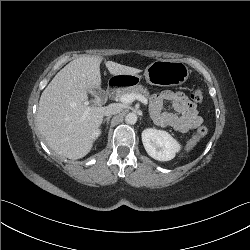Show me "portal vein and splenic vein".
Listing matches in <instances>:
<instances>
[{
	"mask_svg": "<svg viewBox=\"0 0 250 250\" xmlns=\"http://www.w3.org/2000/svg\"><path fill=\"white\" fill-rule=\"evenodd\" d=\"M119 100H120V102L126 103V104L132 103V102L135 101V100L141 101L144 105H147V104H148L147 98H145V97H144L143 95H141V94H134V93L122 95V96L119 98ZM85 114H88V110L85 112Z\"/></svg>",
	"mask_w": 250,
	"mask_h": 250,
	"instance_id": "portal-vein-and-splenic-vein-1",
	"label": "portal vein and splenic vein"
}]
</instances>
